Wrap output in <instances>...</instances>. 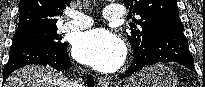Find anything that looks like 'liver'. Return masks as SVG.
<instances>
[{
  "mask_svg": "<svg viewBox=\"0 0 205 87\" xmlns=\"http://www.w3.org/2000/svg\"><path fill=\"white\" fill-rule=\"evenodd\" d=\"M62 74L51 67L25 66L11 74L4 87H69Z\"/></svg>",
  "mask_w": 205,
  "mask_h": 87,
  "instance_id": "6515ba94",
  "label": "liver"
}]
</instances>
